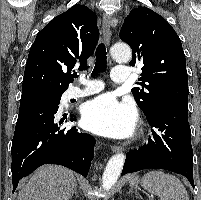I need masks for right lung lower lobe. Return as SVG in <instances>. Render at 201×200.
<instances>
[{
	"instance_id": "obj_1",
	"label": "right lung lower lobe",
	"mask_w": 201,
	"mask_h": 200,
	"mask_svg": "<svg viewBox=\"0 0 201 200\" xmlns=\"http://www.w3.org/2000/svg\"><path fill=\"white\" fill-rule=\"evenodd\" d=\"M58 105L42 103L19 109L11 147L13 192L21 178L43 164L63 165L87 176L95 140L75 126H60L67 115L58 122ZM70 120L76 117L70 114Z\"/></svg>"
}]
</instances>
